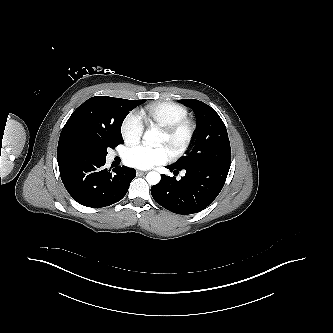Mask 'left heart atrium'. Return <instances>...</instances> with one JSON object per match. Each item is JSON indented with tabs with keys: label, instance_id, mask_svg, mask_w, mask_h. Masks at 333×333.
<instances>
[{
	"label": "left heart atrium",
	"instance_id": "39dd6f15",
	"mask_svg": "<svg viewBox=\"0 0 333 333\" xmlns=\"http://www.w3.org/2000/svg\"><path fill=\"white\" fill-rule=\"evenodd\" d=\"M171 157L168 148H151L143 145L128 148L124 153L125 162L134 168L148 169L166 163Z\"/></svg>",
	"mask_w": 333,
	"mask_h": 333
}]
</instances>
